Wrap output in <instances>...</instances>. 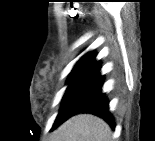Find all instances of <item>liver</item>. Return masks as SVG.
I'll list each match as a JSON object with an SVG mask.
<instances>
[{
  "mask_svg": "<svg viewBox=\"0 0 155 141\" xmlns=\"http://www.w3.org/2000/svg\"><path fill=\"white\" fill-rule=\"evenodd\" d=\"M53 141H112V131L102 119L76 115L63 123L53 135Z\"/></svg>",
  "mask_w": 155,
  "mask_h": 141,
  "instance_id": "liver-1",
  "label": "liver"
}]
</instances>
